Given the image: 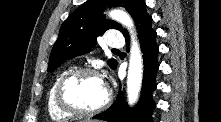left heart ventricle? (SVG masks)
<instances>
[{"label":"left heart ventricle","mask_w":221,"mask_h":122,"mask_svg":"<svg viewBox=\"0 0 221 122\" xmlns=\"http://www.w3.org/2000/svg\"><path fill=\"white\" fill-rule=\"evenodd\" d=\"M106 91V85L101 78L94 75H80L68 84L66 95L76 106L93 109L104 101Z\"/></svg>","instance_id":"obj_1"}]
</instances>
